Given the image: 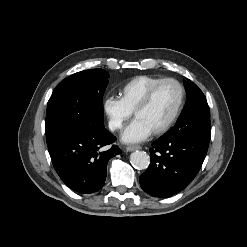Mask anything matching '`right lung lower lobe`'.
Wrapping results in <instances>:
<instances>
[{
	"label": "right lung lower lobe",
	"instance_id": "obj_1",
	"mask_svg": "<svg viewBox=\"0 0 247 247\" xmlns=\"http://www.w3.org/2000/svg\"><path fill=\"white\" fill-rule=\"evenodd\" d=\"M116 138L104 125L93 129L76 130L47 140L53 166L71 189L89 194L100 190L106 179L108 160L121 153ZM108 150L100 152L104 146Z\"/></svg>",
	"mask_w": 247,
	"mask_h": 247
}]
</instances>
